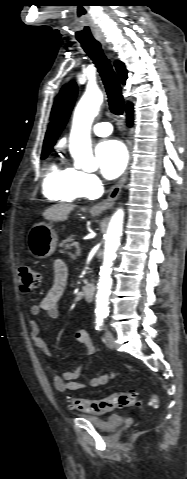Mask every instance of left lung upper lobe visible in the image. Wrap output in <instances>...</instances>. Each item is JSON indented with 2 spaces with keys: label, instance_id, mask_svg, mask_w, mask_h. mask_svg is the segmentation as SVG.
Here are the masks:
<instances>
[{
  "label": "left lung upper lobe",
  "instance_id": "1",
  "mask_svg": "<svg viewBox=\"0 0 187 479\" xmlns=\"http://www.w3.org/2000/svg\"><path fill=\"white\" fill-rule=\"evenodd\" d=\"M64 90H65V87L62 88L60 94L58 95V97H57V99L54 103V106H53V109H52V114H51L52 117L55 115V112H56L57 107L59 105L60 99H61L62 95L64 94Z\"/></svg>",
  "mask_w": 187,
  "mask_h": 479
}]
</instances>
